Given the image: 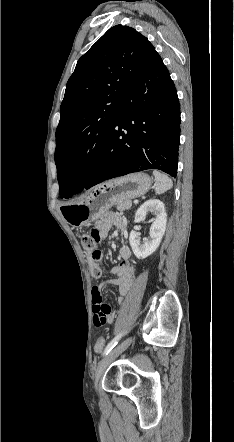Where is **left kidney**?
<instances>
[{"mask_svg": "<svg viewBox=\"0 0 234 442\" xmlns=\"http://www.w3.org/2000/svg\"><path fill=\"white\" fill-rule=\"evenodd\" d=\"M148 212H152L155 215V219L150 227V239H144V243L141 244L140 238L134 230L131 231L129 236L131 248L138 259H144L156 251L166 229L167 215L163 202L158 199H150L144 202L137 210L134 222L139 223L143 221Z\"/></svg>", "mask_w": 234, "mask_h": 442, "instance_id": "obj_1", "label": "left kidney"}]
</instances>
